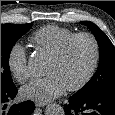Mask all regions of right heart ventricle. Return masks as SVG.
Instances as JSON below:
<instances>
[{"label": "right heart ventricle", "mask_w": 115, "mask_h": 115, "mask_svg": "<svg viewBox=\"0 0 115 115\" xmlns=\"http://www.w3.org/2000/svg\"><path fill=\"white\" fill-rule=\"evenodd\" d=\"M74 34H76L74 31L67 28L57 25H47L37 30L31 36V41L37 49L51 57Z\"/></svg>", "instance_id": "right-heart-ventricle-1"}]
</instances>
